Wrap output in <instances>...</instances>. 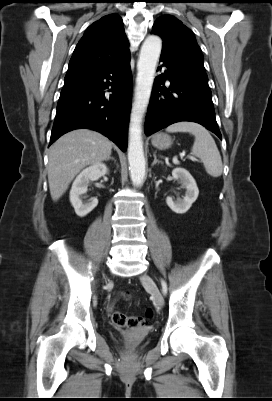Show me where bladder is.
Instances as JSON below:
<instances>
[{"instance_id": "1", "label": "bladder", "mask_w": 272, "mask_h": 401, "mask_svg": "<svg viewBox=\"0 0 272 401\" xmlns=\"http://www.w3.org/2000/svg\"><path fill=\"white\" fill-rule=\"evenodd\" d=\"M151 331V329L149 327H141L135 331H132V334L138 335V336H144L147 335L149 332ZM145 345L140 342L138 344H134V345H125V344H119V348L126 353L129 354H139L143 349H144Z\"/></svg>"}]
</instances>
